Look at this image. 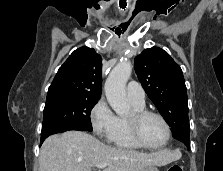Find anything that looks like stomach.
<instances>
[{
  "label": "stomach",
  "instance_id": "0dacf381",
  "mask_svg": "<svg viewBox=\"0 0 223 171\" xmlns=\"http://www.w3.org/2000/svg\"><path fill=\"white\" fill-rule=\"evenodd\" d=\"M141 171H159L155 166H148L143 168Z\"/></svg>",
  "mask_w": 223,
  "mask_h": 171
}]
</instances>
